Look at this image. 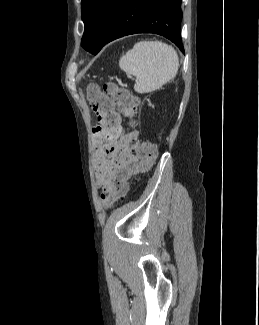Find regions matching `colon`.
Masks as SVG:
<instances>
[{
    "label": "colon",
    "mask_w": 259,
    "mask_h": 325,
    "mask_svg": "<svg viewBox=\"0 0 259 325\" xmlns=\"http://www.w3.org/2000/svg\"><path fill=\"white\" fill-rule=\"evenodd\" d=\"M87 100L98 114L100 121L99 126L91 128V138L97 139L104 129L116 128V118L112 114V110L116 108L128 120L130 131L127 134V140L132 144L139 158V163L135 168L118 172L113 180L112 190L101 196L102 204L106 208H110L127 195L128 180L132 174L145 173L151 168L156 159L157 151L154 145L140 142L138 139L135 117L139 100L129 89L114 82H106L102 86L91 84L87 88Z\"/></svg>",
    "instance_id": "colon-1"
}]
</instances>
